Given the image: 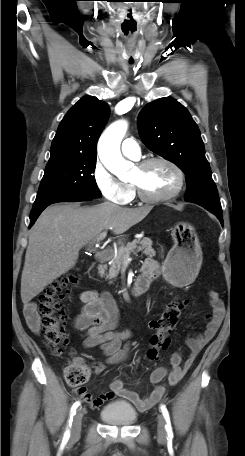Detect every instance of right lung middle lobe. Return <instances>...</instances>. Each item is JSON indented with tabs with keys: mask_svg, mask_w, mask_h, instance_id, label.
I'll return each instance as SVG.
<instances>
[{
	"mask_svg": "<svg viewBox=\"0 0 245 456\" xmlns=\"http://www.w3.org/2000/svg\"><path fill=\"white\" fill-rule=\"evenodd\" d=\"M96 156L62 159L47 163L33 207L71 198L102 196L92 175Z\"/></svg>",
	"mask_w": 245,
	"mask_h": 456,
	"instance_id": "right-lung-middle-lobe-1",
	"label": "right lung middle lobe"
}]
</instances>
